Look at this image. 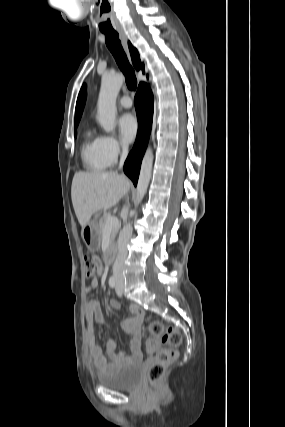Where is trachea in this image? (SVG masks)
Returning a JSON list of instances; mask_svg holds the SVG:
<instances>
[{
  "mask_svg": "<svg viewBox=\"0 0 285 427\" xmlns=\"http://www.w3.org/2000/svg\"><path fill=\"white\" fill-rule=\"evenodd\" d=\"M106 39V45L112 55L115 58V61L123 72L125 76V81L128 89L135 90L137 87V79L135 76V72L129 61L127 56L122 48L121 42L119 40V34L116 31H103Z\"/></svg>",
  "mask_w": 285,
  "mask_h": 427,
  "instance_id": "1",
  "label": "trachea"
}]
</instances>
